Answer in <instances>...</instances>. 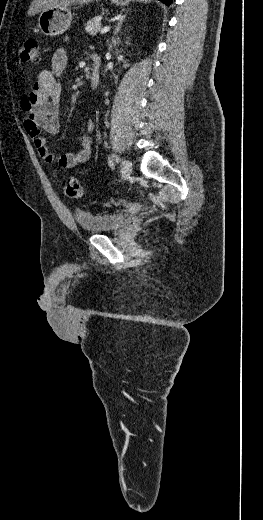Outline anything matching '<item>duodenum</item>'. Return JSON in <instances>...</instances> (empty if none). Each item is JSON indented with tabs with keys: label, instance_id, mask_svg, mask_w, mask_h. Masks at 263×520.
<instances>
[{
	"label": "duodenum",
	"instance_id": "obj_1",
	"mask_svg": "<svg viewBox=\"0 0 263 520\" xmlns=\"http://www.w3.org/2000/svg\"><path fill=\"white\" fill-rule=\"evenodd\" d=\"M101 60L98 55L92 56V69L88 75L90 86L93 90L97 89L100 84Z\"/></svg>",
	"mask_w": 263,
	"mask_h": 520
}]
</instances>
